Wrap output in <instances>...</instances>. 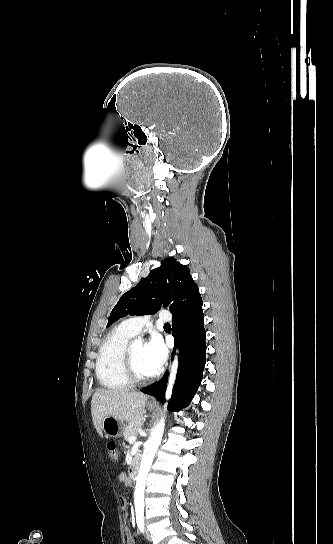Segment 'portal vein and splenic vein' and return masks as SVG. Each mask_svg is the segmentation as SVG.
I'll use <instances>...</instances> for the list:
<instances>
[{
	"label": "portal vein and splenic vein",
	"mask_w": 333,
	"mask_h": 544,
	"mask_svg": "<svg viewBox=\"0 0 333 544\" xmlns=\"http://www.w3.org/2000/svg\"><path fill=\"white\" fill-rule=\"evenodd\" d=\"M129 443H133L136 441V436H131L129 439H128Z\"/></svg>",
	"instance_id": "portal-vein-and-splenic-vein-1"
}]
</instances>
